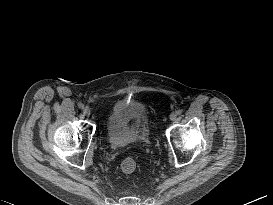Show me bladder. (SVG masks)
<instances>
[{"label": "bladder", "instance_id": "obj_1", "mask_svg": "<svg viewBox=\"0 0 273 205\" xmlns=\"http://www.w3.org/2000/svg\"><path fill=\"white\" fill-rule=\"evenodd\" d=\"M149 134V122L146 109L134 99L116 102L106 120V137L114 148H128Z\"/></svg>", "mask_w": 273, "mask_h": 205}]
</instances>
